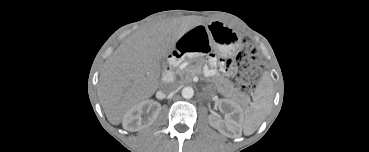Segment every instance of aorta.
Returning a JSON list of instances; mask_svg holds the SVG:
<instances>
[{
	"label": "aorta",
	"instance_id": "aorta-1",
	"mask_svg": "<svg viewBox=\"0 0 369 152\" xmlns=\"http://www.w3.org/2000/svg\"><path fill=\"white\" fill-rule=\"evenodd\" d=\"M182 97L185 99H190L194 96V90L192 87H184L181 91Z\"/></svg>",
	"mask_w": 369,
	"mask_h": 152
}]
</instances>
